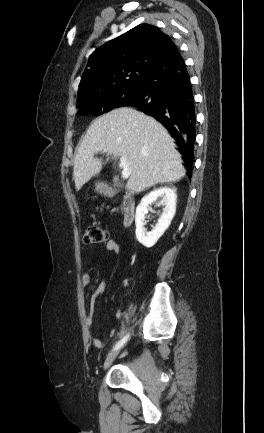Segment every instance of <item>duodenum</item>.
<instances>
[{
  "mask_svg": "<svg viewBox=\"0 0 264 433\" xmlns=\"http://www.w3.org/2000/svg\"><path fill=\"white\" fill-rule=\"evenodd\" d=\"M106 194L110 197H114L116 192L113 188H107ZM136 202L132 195L124 193L122 196V217L123 225L130 226L135 218Z\"/></svg>",
  "mask_w": 264,
  "mask_h": 433,
  "instance_id": "410a0bca",
  "label": "duodenum"
}]
</instances>
